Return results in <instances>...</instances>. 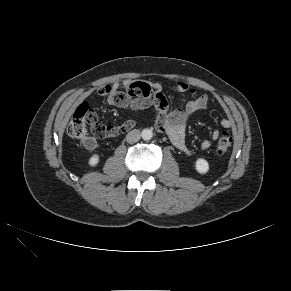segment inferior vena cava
Wrapping results in <instances>:
<instances>
[{
  "label": "inferior vena cava",
  "instance_id": "obj_1",
  "mask_svg": "<svg viewBox=\"0 0 291 291\" xmlns=\"http://www.w3.org/2000/svg\"><path fill=\"white\" fill-rule=\"evenodd\" d=\"M140 138H141V133L137 129H134V130L130 131L126 135V141L128 143H135V142L139 141Z\"/></svg>",
  "mask_w": 291,
  "mask_h": 291
}]
</instances>
